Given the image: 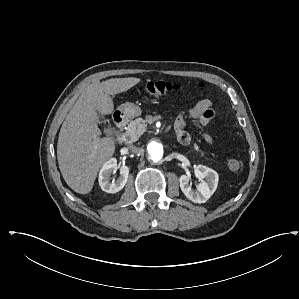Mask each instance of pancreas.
I'll list each match as a JSON object with an SVG mask.
<instances>
[{
	"instance_id": "1",
	"label": "pancreas",
	"mask_w": 299,
	"mask_h": 299,
	"mask_svg": "<svg viewBox=\"0 0 299 299\" xmlns=\"http://www.w3.org/2000/svg\"><path fill=\"white\" fill-rule=\"evenodd\" d=\"M146 128H147L146 121L142 118H137L131 121L124 133L126 141L128 143L137 141L139 137L144 133ZM194 149L197 152H200L201 156H204V153L199 149V147L196 144L194 145Z\"/></svg>"
}]
</instances>
